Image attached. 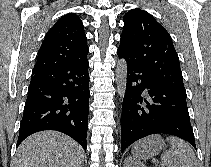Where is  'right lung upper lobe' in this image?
Wrapping results in <instances>:
<instances>
[{"instance_id":"1","label":"right lung upper lobe","mask_w":211,"mask_h":167,"mask_svg":"<svg viewBox=\"0 0 211 167\" xmlns=\"http://www.w3.org/2000/svg\"><path fill=\"white\" fill-rule=\"evenodd\" d=\"M88 51L82 21L74 13L66 14L47 32L32 73L80 61Z\"/></svg>"}]
</instances>
